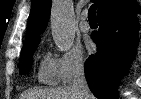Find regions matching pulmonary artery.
I'll list each match as a JSON object with an SVG mask.
<instances>
[{
  "instance_id": "1",
  "label": "pulmonary artery",
  "mask_w": 141,
  "mask_h": 99,
  "mask_svg": "<svg viewBox=\"0 0 141 99\" xmlns=\"http://www.w3.org/2000/svg\"><path fill=\"white\" fill-rule=\"evenodd\" d=\"M87 11H84L81 15V21L79 23V28L82 32H88L90 30V25L87 20Z\"/></svg>"
}]
</instances>
